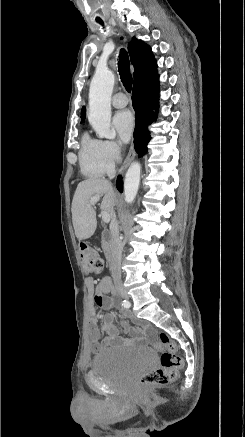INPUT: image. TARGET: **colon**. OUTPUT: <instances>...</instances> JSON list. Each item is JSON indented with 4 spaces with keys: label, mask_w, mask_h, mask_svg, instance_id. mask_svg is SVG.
I'll list each match as a JSON object with an SVG mask.
<instances>
[{
    "label": "colon",
    "mask_w": 245,
    "mask_h": 437,
    "mask_svg": "<svg viewBox=\"0 0 245 437\" xmlns=\"http://www.w3.org/2000/svg\"><path fill=\"white\" fill-rule=\"evenodd\" d=\"M80 255L85 275L99 274L102 271L104 262L93 247L81 245ZM158 343L162 350L160 367L141 376L140 383L143 386H162L175 381L183 365L182 357L177 354L176 344L165 333L158 335Z\"/></svg>",
    "instance_id": "colon-1"
}]
</instances>
